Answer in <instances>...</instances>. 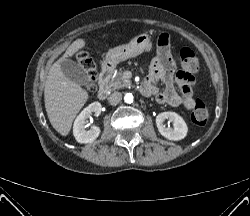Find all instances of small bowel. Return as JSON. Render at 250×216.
<instances>
[{"label": "small bowel", "mask_w": 250, "mask_h": 216, "mask_svg": "<svg viewBox=\"0 0 250 216\" xmlns=\"http://www.w3.org/2000/svg\"><path fill=\"white\" fill-rule=\"evenodd\" d=\"M167 42V36L159 37V44L162 46L151 63L149 76L144 80L141 90L145 95H154L156 101L161 105L191 110L195 106L194 77L184 75L181 71L175 72L166 47ZM160 84L165 86L161 92L158 90Z\"/></svg>", "instance_id": "c3829d8e"}]
</instances>
